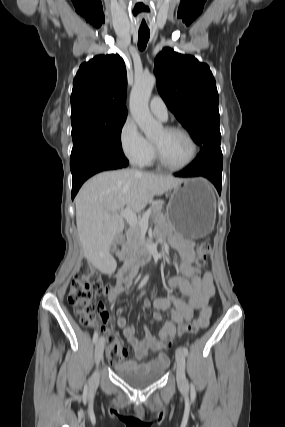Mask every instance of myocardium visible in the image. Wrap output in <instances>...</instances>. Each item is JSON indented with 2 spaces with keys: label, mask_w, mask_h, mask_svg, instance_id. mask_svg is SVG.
<instances>
[{
  "label": "myocardium",
  "mask_w": 285,
  "mask_h": 427,
  "mask_svg": "<svg viewBox=\"0 0 285 427\" xmlns=\"http://www.w3.org/2000/svg\"><path fill=\"white\" fill-rule=\"evenodd\" d=\"M164 130L166 132H169V133H181V134L185 135L191 144V148H192L191 155L188 158V160L186 162H184L183 164L171 165L164 160L160 148L158 147V145L156 143L153 142V150H154V156H155L156 161L158 162V164L161 167H163L167 170L179 171V170L186 169L195 161L197 154H198V145H197L195 138L186 128L181 127V126H167L164 128Z\"/></svg>",
  "instance_id": "myocardium-1"
}]
</instances>
